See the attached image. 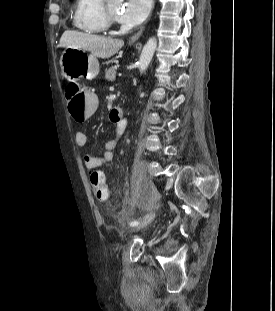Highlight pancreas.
I'll return each instance as SVG.
<instances>
[{
	"label": "pancreas",
	"mask_w": 275,
	"mask_h": 311,
	"mask_svg": "<svg viewBox=\"0 0 275 311\" xmlns=\"http://www.w3.org/2000/svg\"><path fill=\"white\" fill-rule=\"evenodd\" d=\"M115 75H116V68L111 67L108 70H106L105 79H107L109 81H113V80H115Z\"/></svg>",
	"instance_id": "1"
}]
</instances>
